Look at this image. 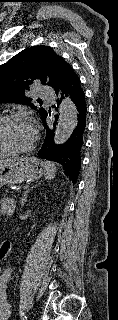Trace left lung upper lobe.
<instances>
[{
    "instance_id": "1",
    "label": "left lung upper lobe",
    "mask_w": 118,
    "mask_h": 320,
    "mask_svg": "<svg viewBox=\"0 0 118 320\" xmlns=\"http://www.w3.org/2000/svg\"><path fill=\"white\" fill-rule=\"evenodd\" d=\"M73 71L72 67L51 47L26 48L0 66V102H15L37 109L25 91L34 80L51 86L55 92ZM41 118L47 114L44 108L37 109Z\"/></svg>"
}]
</instances>
